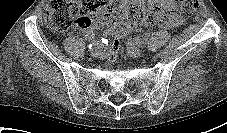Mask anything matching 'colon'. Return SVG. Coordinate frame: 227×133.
<instances>
[{
  "label": "colon",
  "mask_w": 227,
  "mask_h": 133,
  "mask_svg": "<svg viewBox=\"0 0 227 133\" xmlns=\"http://www.w3.org/2000/svg\"><path fill=\"white\" fill-rule=\"evenodd\" d=\"M177 7V15L191 16L198 7L197 0H173ZM112 0H49L46 8V21L56 32H65L70 28L84 31L91 27L93 18L102 15L112 5ZM129 16L134 24L161 23L167 15L159 8H152L149 12L138 6L129 9ZM119 42H113L108 53L109 60L114 59L118 51Z\"/></svg>",
  "instance_id": "5ec220e1"
}]
</instances>
